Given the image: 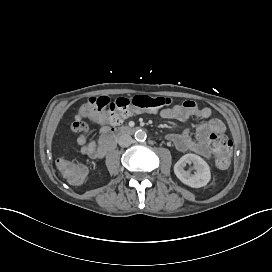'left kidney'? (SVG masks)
I'll return each instance as SVG.
<instances>
[{
    "label": "left kidney",
    "instance_id": "obj_1",
    "mask_svg": "<svg viewBox=\"0 0 272 272\" xmlns=\"http://www.w3.org/2000/svg\"><path fill=\"white\" fill-rule=\"evenodd\" d=\"M190 162L194 164V174L184 170L186 163ZM174 173L181 182L193 188L207 185L211 178L209 165L200 156L191 153L185 154L176 162Z\"/></svg>",
    "mask_w": 272,
    "mask_h": 272
}]
</instances>
